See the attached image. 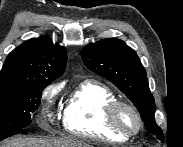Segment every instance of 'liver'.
<instances>
[{
	"label": "liver",
	"mask_w": 183,
	"mask_h": 147,
	"mask_svg": "<svg viewBox=\"0 0 183 147\" xmlns=\"http://www.w3.org/2000/svg\"><path fill=\"white\" fill-rule=\"evenodd\" d=\"M0 147H92L75 137L65 138H12Z\"/></svg>",
	"instance_id": "6515ba94"
}]
</instances>
